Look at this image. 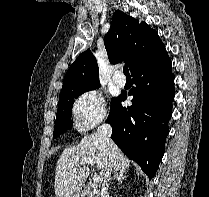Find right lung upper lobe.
<instances>
[{
    "mask_svg": "<svg viewBox=\"0 0 209 197\" xmlns=\"http://www.w3.org/2000/svg\"><path fill=\"white\" fill-rule=\"evenodd\" d=\"M111 63L122 60L131 73L165 51L157 31L145 22L128 16L120 10L114 12L109 32L104 37ZM99 83V68L94 55L87 50L70 66L65 74L62 90Z\"/></svg>",
    "mask_w": 209,
    "mask_h": 197,
    "instance_id": "cb5924a9",
    "label": "right lung upper lobe"
}]
</instances>
